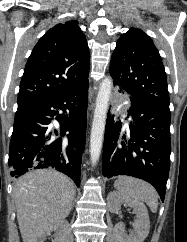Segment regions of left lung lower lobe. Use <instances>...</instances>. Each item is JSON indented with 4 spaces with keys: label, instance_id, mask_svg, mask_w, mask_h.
<instances>
[{
    "label": "left lung lower lobe",
    "instance_id": "0a47b994",
    "mask_svg": "<svg viewBox=\"0 0 187 242\" xmlns=\"http://www.w3.org/2000/svg\"><path fill=\"white\" fill-rule=\"evenodd\" d=\"M118 92L123 90L118 88ZM128 127L108 113L103 145V175H129L152 184L162 201L170 168V111L131 97Z\"/></svg>",
    "mask_w": 187,
    "mask_h": 242
}]
</instances>
